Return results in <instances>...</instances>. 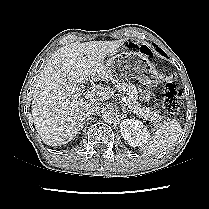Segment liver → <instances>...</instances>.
<instances>
[{"instance_id":"obj_1","label":"liver","mask_w":209,"mask_h":209,"mask_svg":"<svg viewBox=\"0 0 209 209\" xmlns=\"http://www.w3.org/2000/svg\"><path fill=\"white\" fill-rule=\"evenodd\" d=\"M126 39L71 43L59 48L47 62L35 84L32 117L42 141L61 146L75 138L85 120V105L92 100L105 101L113 91L98 84L97 97L80 98V84L113 80L106 57L115 54Z\"/></svg>"}]
</instances>
